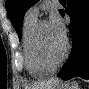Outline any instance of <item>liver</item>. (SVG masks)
Here are the masks:
<instances>
[{
    "label": "liver",
    "instance_id": "obj_1",
    "mask_svg": "<svg viewBox=\"0 0 89 89\" xmlns=\"http://www.w3.org/2000/svg\"><path fill=\"white\" fill-rule=\"evenodd\" d=\"M61 83L57 78L37 81L28 86V89H51L55 83Z\"/></svg>",
    "mask_w": 89,
    "mask_h": 89
}]
</instances>
